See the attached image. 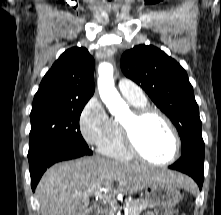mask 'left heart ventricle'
Wrapping results in <instances>:
<instances>
[{
	"mask_svg": "<svg viewBox=\"0 0 221 215\" xmlns=\"http://www.w3.org/2000/svg\"><path fill=\"white\" fill-rule=\"evenodd\" d=\"M128 118L129 115L124 120ZM135 140L139 149L154 161H165L173 153V137L165 123L157 116H148L136 125Z\"/></svg>",
	"mask_w": 221,
	"mask_h": 215,
	"instance_id": "b2bd125f",
	"label": "left heart ventricle"
}]
</instances>
